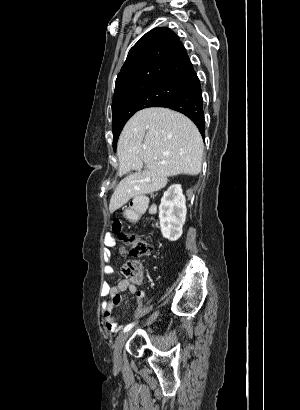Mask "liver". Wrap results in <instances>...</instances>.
Returning <instances> with one entry per match:
<instances>
[{
  "mask_svg": "<svg viewBox=\"0 0 300 410\" xmlns=\"http://www.w3.org/2000/svg\"><path fill=\"white\" fill-rule=\"evenodd\" d=\"M204 144L199 130L185 115L153 107L137 112L118 140L119 173L136 170L120 181L109 204L113 213L131 198L164 188L169 176L197 175ZM143 163L146 170L141 171Z\"/></svg>",
  "mask_w": 300,
  "mask_h": 410,
  "instance_id": "obj_1",
  "label": "liver"
}]
</instances>
